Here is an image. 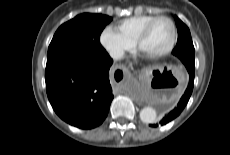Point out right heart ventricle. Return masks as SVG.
Returning <instances> with one entry per match:
<instances>
[{"label": "right heart ventricle", "instance_id": "e07e8e85", "mask_svg": "<svg viewBox=\"0 0 230 155\" xmlns=\"http://www.w3.org/2000/svg\"><path fill=\"white\" fill-rule=\"evenodd\" d=\"M154 17V15H137L125 18L116 24L115 29L124 38L134 43L143 26Z\"/></svg>", "mask_w": 230, "mask_h": 155}]
</instances>
